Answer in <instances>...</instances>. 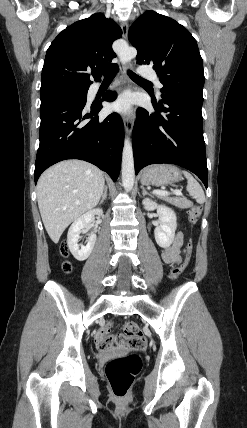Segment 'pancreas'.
Wrapping results in <instances>:
<instances>
[{
    "label": "pancreas",
    "instance_id": "1",
    "mask_svg": "<svg viewBox=\"0 0 247 428\" xmlns=\"http://www.w3.org/2000/svg\"><path fill=\"white\" fill-rule=\"evenodd\" d=\"M160 199L171 203L181 209H186L192 206V202L180 197L158 196Z\"/></svg>",
    "mask_w": 247,
    "mask_h": 428
}]
</instances>
